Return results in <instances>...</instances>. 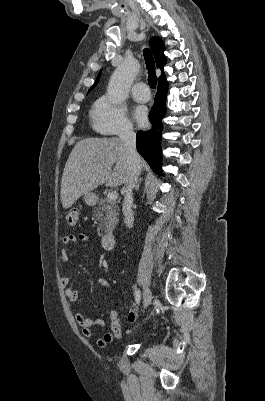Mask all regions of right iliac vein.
<instances>
[{
  "label": "right iliac vein",
  "mask_w": 265,
  "mask_h": 401,
  "mask_svg": "<svg viewBox=\"0 0 265 401\" xmlns=\"http://www.w3.org/2000/svg\"><path fill=\"white\" fill-rule=\"evenodd\" d=\"M152 301V294L149 288H145L143 293V307L146 309Z\"/></svg>",
  "instance_id": "63e3f726"
}]
</instances>
